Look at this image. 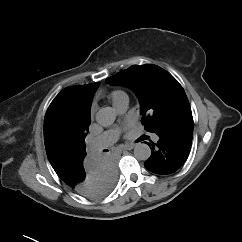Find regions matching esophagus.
<instances>
[{"instance_id":"1","label":"esophagus","mask_w":242,"mask_h":242,"mask_svg":"<svg viewBox=\"0 0 242 242\" xmlns=\"http://www.w3.org/2000/svg\"><path fill=\"white\" fill-rule=\"evenodd\" d=\"M134 144L133 143H126L125 145H123L122 149L123 150H131L134 148Z\"/></svg>"}]
</instances>
